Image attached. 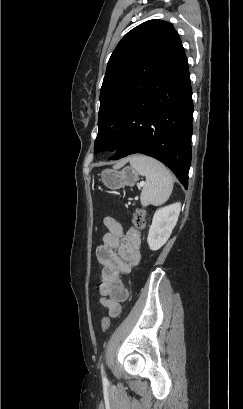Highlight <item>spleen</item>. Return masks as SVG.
<instances>
[{"label":"spleen","instance_id":"spleen-1","mask_svg":"<svg viewBox=\"0 0 243 409\" xmlns=\"http://www.w3.org/2000/svg\"><path fill=\"white\" fill-rule=\"evenodd\" d=\"M129 162L138 174L146 177L140 195L142 206H158L166 202L173 190V178L169 170L159 161L145 155H133Z\"/></svg>","mask_w":243,"mask_h":409}]
</instances>
